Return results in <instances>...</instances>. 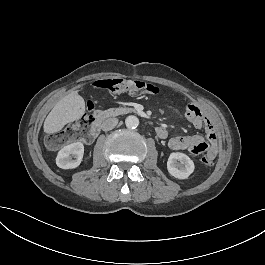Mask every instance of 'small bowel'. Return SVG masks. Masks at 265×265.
Masks as SVG:
<instances>
[{
    "mask_svg": "<svg viewBox=\"0 0 265 265\" xmlns=\"http://www.w3.org/2000/svg\"><path fill=\"white\" fill-rule=\"evenodd\" d=\"M185 115L196 128H201L203 124L206 126L208 141L199 135L174 136L168 141L169 148L174 151L186 150L193 155L206 153V156L213 161L217 154V143L216 132L211 120L194 103L187 104ZM166 137L167 132L166 136L160 139H165Z\"/></svg>",
    "mask_w": 265,
    "mask_h": 265,
    "instance_id": "small-bowel-1",
    "label": "small bowel"
}]
</instances>
